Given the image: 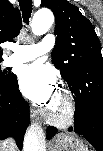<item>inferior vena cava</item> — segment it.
<instances>
[{"instance_id":"inferior-vena-cava-1","label":"inferior vena cava","mask_w":103,"mask_h":151,"mask_svg":"<svg viewBox=\"0 0 103 151\" xmlns=\"http://www.w3.org/2000/svg\"><path fill=\"white\" fill-rule=\"evenodd\" d=\"M10 144H15L13 139L9 138V139H6L3 143H2V146L3 148H7ZM7 151V149H5ZM2 151V150H1Z\"/></svg>"}]
</instances>
